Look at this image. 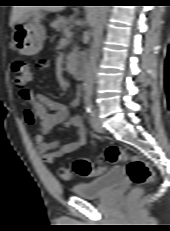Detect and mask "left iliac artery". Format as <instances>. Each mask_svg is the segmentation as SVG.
<instances>
[{
    "mask_svg": "<svg viewBox=\"0 0 170 231\" xmlns=\"http://www.w3.org/2000/svg\"><path fill=\"white\" fill-rule=\"evenodd\" d=\"M93 91L91 89H86L84 95V103L86 111L89 115H93L95 113L93 102H92Z\"/></svg>",
    "mask_w": 170,
    "mask_h": 231,
    "instance_id": "left-iliac-artery-1",
    "label": "left iliac artery"
}]
</instances>
